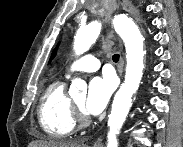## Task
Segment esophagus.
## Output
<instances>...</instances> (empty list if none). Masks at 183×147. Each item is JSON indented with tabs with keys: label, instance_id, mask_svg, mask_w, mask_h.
Listing matches in <instances>:
<instances>
[{
	"label": "esophagus",
	"instance_id": "1",
	"mask_svg": "<svg viewBox=\"0 0 183 147\" xmlns=\"http://www.w3.org/2000/svg\"><path fill=\"white\" fill-rule=\"evenodd\" d=\"M120 66H121L120 73H122L123 61H121ZM101 145H102V138L98 137L94 142V146L97 147V146H101Z\"/></svg>",
	"mask_w": 183,
	"mask_h": 147
}]
</instances>
